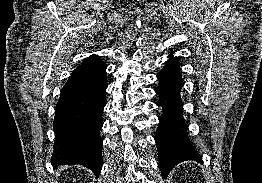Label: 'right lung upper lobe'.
<instances>
[{
    "label": "right lung upper lobe",
    "instance_id": "cb5924a9",
    "mask_svg": "<svg viewBox=\"0 0 262 183\" xmlns=\"http://www.w3.org/2000/svg\"><path fill=\"white\" fill-rule=\"evenodd\" d=\"M93 61H101V58L97 55H92L88 57L84 62H93Z\"/></svg>",
    "mask_w": 262,
    "mask_h": 183
}]
</instances>
